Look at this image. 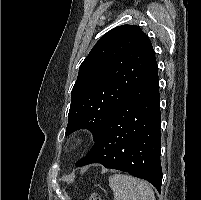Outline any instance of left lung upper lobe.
Segmentation results:
<instances>
[{
    "label": "left lung upper lobe",
    "instance_id": "1",
    "mask_svg": "<svg viewBox=\"0 0 201 200\" xmlns=\"http://www.w3.org/2000/svg\"><path fill=\"white\" fill-rule=\"evenodd\" d=\"M155 65L140 27L122 25L104 34L80 65L65 134L89 129L95 140L114 108Z\"/></svg>",
    "mask_w": 201,
    "mask_h": 200
}]
</instances>
